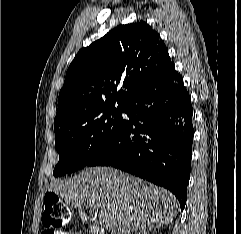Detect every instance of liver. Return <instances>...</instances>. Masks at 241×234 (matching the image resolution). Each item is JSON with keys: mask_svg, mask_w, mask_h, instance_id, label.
I'll return each mask as SVG.
<instances>
[{"mask_svg": "<svg viewBox=\"0 0 241 234\" xmlns=\"http://www.w3.org/2000/svg\"><path fill=\"white\" fill-rule=\"evenodd\" d=\"M78 210H99L111 234L155 229L172 221L179 204L169 191L112 167H90L48 187Z\"/></svg>", "mask_w": 241, "mask_h": 234, "instance_id": "liver-1", "label": "liver"}]
</instances>
